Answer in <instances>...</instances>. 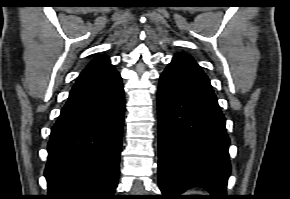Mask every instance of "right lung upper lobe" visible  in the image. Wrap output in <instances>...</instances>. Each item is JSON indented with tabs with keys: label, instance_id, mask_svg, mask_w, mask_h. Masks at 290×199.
Here are the masks:
<instances>
[{
	"label": "right lung upper lobe",
	"instance_id": "cb5924a9",
	"mask_svg": "<svg viewBox=\"0 0 290 199\" xmlns=\"http://www.w3.org/2000/svg\"><path fill=\"white\" fill-rule=\"evenodd\" d=\"M120 78L107 56L92 60L79 75L69 98L89 94L105 88Z\"/></svg>",
	"mask_w": 290,
	"mask_h": 199
}]
</instances>
